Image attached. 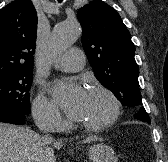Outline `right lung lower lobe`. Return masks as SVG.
Masks as SVG:
<instances>
[{
  "mask_svg": "<svg viewBox=\"0 0 168 162\" xmlns=\"http://www.w3.org/2000/svg\"><path fill=\"white\" fill-rule=\"evenodd\" d=\"M25 116L23 114L0 110V122L23 125L25 123Z\"/></svg>",
  "mask_w": 168,
  "mask_h": 162,
  "instance_id": "98d812e1",
  "label": "right lung lower lobe"
}]
</instances>
